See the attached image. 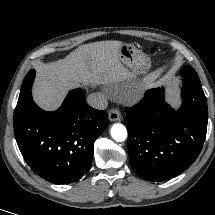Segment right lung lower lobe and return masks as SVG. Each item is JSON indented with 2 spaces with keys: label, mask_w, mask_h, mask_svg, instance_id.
<instances>
[{
  "label": "right lung lower lobe",
  "mask_w": 215,
  "mask_h": 215,
  "mask_svg": "<svg viewBox=\"0 0 215 215\" xmlns=\"http://www.w3.org/2000/svg\"><path fill=\"white\" fill-rule=\"evenodd\" d=\"M24 89L31 94L28 86ZM107 126L106 111L86 104L83 91L71 90L53 112L40 109L32 100L28 112L14 125V133L36 174L55 184H67L88 171L94 142Z\"/></svg>",
  "instance_id": "obj_1"
}]
</instances>
